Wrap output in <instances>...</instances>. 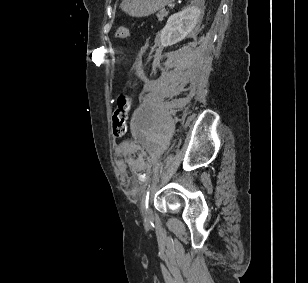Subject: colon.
Instances as JSON below:
<instances>
[{
    "label": "colon",
    "instance_id": "colon-1",
    "mask_svg": "<svg viewBox=\"0 0 308 283\" xmlns=\"http://www.w3.org/2000/svg\"><path fill=\"white\" fill-rule=\"evenodd\" d=\"M129 35V28L124 26L117 28L115 32V36L120 39H125ZM130 108V97L128 95H120L117 98L116 106L112 114V131L116 138H122L127 133Z\"/></svg>",
    "mask_w": 308,
    "mask_h": 283
}]
</instances>
